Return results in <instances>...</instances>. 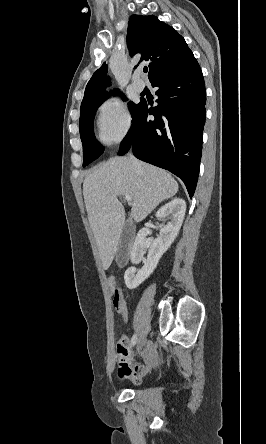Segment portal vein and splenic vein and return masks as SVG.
Segmentation results:
<instances>
[{"label": "portal vein and splenic vein", "instance_id": "18ae733b", "mask_svg": "<svg viewBox=\"0 0 266 444\" xmlns=\"http://www.w3.org/2000/svg\"><path fill=\"white\" fill-rule=\"evenodd\" d=\"M124 199H125L128 203H131V202H132V197L129 196V195H126V196L124 197Z\"/></svg>", "mask_w": 266, "mask_h": 444}]
</instances>
